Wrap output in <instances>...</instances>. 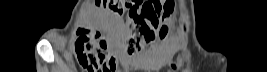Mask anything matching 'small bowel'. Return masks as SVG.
<instances>
[{
	"instance_id": "obj_1",
	"label": "small bowel",
	"mask_w": 267,
	"mask_h": 72,
	"mask_svg": "<svg viewBox=\"0 0 267 72\" xmlns=\"http://www.w3.org/2000/svg\"><path fill=\"white\" fill-rule=\"evenodd\" d=\"M108 21L110 22L111 19L109 18ZM172 20L167 19L164 21L165 24H171ZM87 35L90 37V41L92 45H96L102 38L100 37L99 33L93 31L92 28L86 27L83 29ZM78 43L75 42L74 44V51L77 55V58L80 64L88 71L93 72V70L87 66L81 60V55L77 51ZM178 48V43L169 41L165 39L162 44H152L147 50H144L139 53L127 55L121 50H116L115 54L109 55L113 59V63L117 65L118 61L125 63L128 66L134 67L136 69L142 70H158L163 67L166 63H168L175 51ZM108 49V48H107Z\"/></svg>"
}]
</instances>
